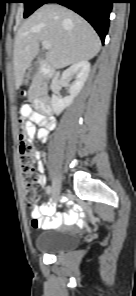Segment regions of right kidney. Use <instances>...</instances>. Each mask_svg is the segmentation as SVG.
<instances>
[{
	"instance_id": "obj_1",
	"label": "right kidney",
	"mask_w": 136,
	"mask_h": 296,
	"mask_svg": "<svg viewBox=\"0 0 136 296\" xmlns=\"http://www.w3.org/2000/svg\"><path fill=\"white\" fill-rule=\"evenodd\" d=\"M91 70L88 61H79L66 69L60 78V81L67 83L68 79L75 76V81L69 85V96L61 97L56 94L52 95V107L54 112L59 115L65 108L73 103L74 98L80 93Z\"/></svg>"
}]
</instances>
